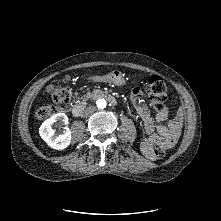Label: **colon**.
<instances>
[{
    "mask_svg": "<svg viewBox=\"0 0 221 221\" xmlns=\"http://www.w3.org/2000/svg\"><path fill=\"white\" fill-rule=\"evenodd\" d=\"M147 90L150 100V105L156 110H160L164 105V100L167 93V85L162 77L152 75L147 81ZM51 105L43 106L36 111V117L40 120L46 119L62 108L66 107L70 102V89L68 86H63L55 89L51 95ZM168 143L163 142L153 146L151 149V157L162 158L166 154Z\"/></svg>",
    "mask_w": 221,
    "mask_h": 221,
    "instance_id": "obj_1",
    "label": "colon"
}]
</instances>
